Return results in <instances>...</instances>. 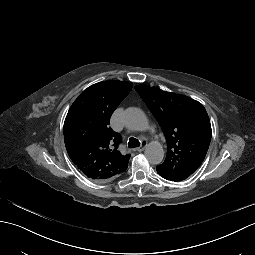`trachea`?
<instances>
[{
    "label": "trachea",
    "mask_w": 255,
    "mask_h": 255,
    "mask_svg": "<svg viewBox=\"0 0 255 255\" xmlns=\"http://www.w3.org/2000/svg\"><path fill=\"white\" fill-rule=\"evenodd\" d=\"M139 145H140V142H139L137 139H135V138H133V137H131V138L129 139V142H128L129 148L139 147Z\"/></svg>",
    "instance_id": "3493384b"
}]
</instances>
